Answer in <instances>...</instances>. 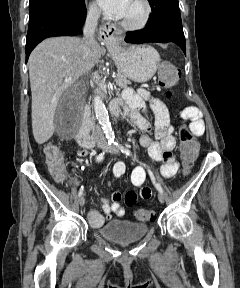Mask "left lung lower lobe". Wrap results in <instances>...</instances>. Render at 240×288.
<instances>
[{
    "mask_svg": "<svg viewBox=\"0 0 240 288\" xmlns=\"http://www.w3.org/2000/svg\"><path fill=\"white\" fill-rule=\"evenodd\" d=\"M127 43L173 42L185 52V37L179 9L169 5L153 12L147 26L139 31L127 32Z\"/></svg>",
    "mask_w": 240,
    "mask_h": 288,
    "instance_id": "0a47b994",
    "label": "left lung lower lobe"
}]
</instances>
